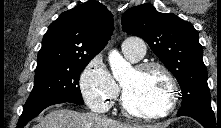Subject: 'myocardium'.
I'll use <instances>...</instances> for the list:
<instances>
[{
	"mask_svg": "<svg viewBox=\"0 0 221 128\" xmlns=\"http://www.w3.org/2000/svg\"><path fill=\"white\" fill-rule=\"evenodd\" d=\"M135 70L138 73H143L149 70L159 71L163 75V77L165 78L168 84L169 94L166 105L163 109L154 112H136L128 106L126 102L125 90L122 87L121 96H120V106L124 115L136 120H157L169 116L176 106L177 97H178L177 82L173 73L165 65L158 62L141 63L135 67Z\"/></svg>",
	"mask_w": 221,
	"mask_h": 128,
	"instance_id": "obj_1",
	"label": "myocardium"
}]
</instances>
